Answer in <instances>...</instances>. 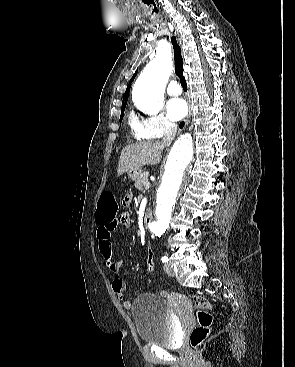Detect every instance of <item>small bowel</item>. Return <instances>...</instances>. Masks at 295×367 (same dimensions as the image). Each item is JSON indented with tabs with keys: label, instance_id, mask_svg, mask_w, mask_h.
Here are the masks:
<instances>
[{
	"label": "small bowel",
	"instance_id": "1",
	"mask_svg": "<svg viewBox=\"0 0 295 367\" xmlns=\"http://www.w3.org/2000/svg\"><path fill=\"white\" fill-rule=\"evenodd\" d=\"M125 205H129L131 202V194H127L124 197ZM97 243L100 254L104 260V263L107 269L117 274L121 270L123 266V260H115L113 258L112 244H111V235L118 225H122L124 227L130 226V218L126 212H119L118 218L113 219L109 222H99L97 220ZM112 289L114 294L118 299L123 300V306L125 309H130L132 307V303L129 300H125V292L127 290V283L122 278H115L112 282Z\"/></svg>",
	"mask_w": 295,
	"mask_h": 367
}]
</instances>
